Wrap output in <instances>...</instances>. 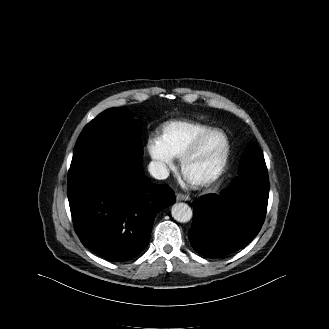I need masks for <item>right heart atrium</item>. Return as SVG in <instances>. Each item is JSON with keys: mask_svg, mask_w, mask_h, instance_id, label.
I'll use <instances>...</instances> for the list:
<instances>
[{"mask_svg": "<svg viewBox=\"0 0 329 329\" xmlns=\"http://www.w3.org/2000/svg\"><path fill=\"white\" fill-rule=\"evenodd\" d=\"M147 150L159 172L164 173L173 165V156L162 146L158 139H149Z\"/></svg>", "mask_w": 329, "mask_h": 329, "instance_id": "right-heart-atrium-1", "label": "right heart atrium"}]
</instances>
